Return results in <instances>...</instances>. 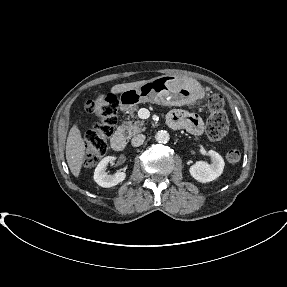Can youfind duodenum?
<instances>
[{"mask_svg":"<svg viewBox=\"0 0 287 287\" xmlns=\"http://www.w3.org/2000/svg\"><path fill=\"white\" fill-rule=\"evenodd\" d=\"M126 139L124 135L120 132L115 133L111 138V146L117 151L121 152L126 149Z\"/></svg>","mask_w":287,"mask_h":287,"instance_id":"duodenum-1","label":"duodenum"}]
</instances>
